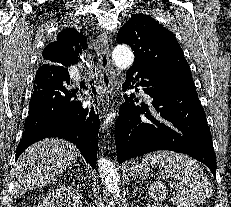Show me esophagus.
I'll return each mask as SVG.
<instances>
[{"instance_id": "34e87169", "label": "esophagus", "mask_w": 231, "mask_h": 207, "mask_svg": "<svg viewBox=\"0 0 231 207\" xmlns=\"http://www.w3.org/2000/svg\"><path fill=\"white\" fill-rule=\"evenodd\" d=\"M95 51L100 69V84L103 94L113 96L117 84L114 69L111 64L109 40L107 33H101L95 42Z\"/></svg>"}]
</instances>
